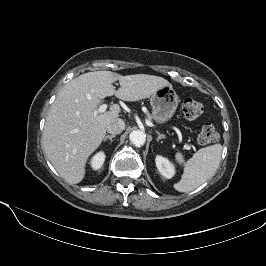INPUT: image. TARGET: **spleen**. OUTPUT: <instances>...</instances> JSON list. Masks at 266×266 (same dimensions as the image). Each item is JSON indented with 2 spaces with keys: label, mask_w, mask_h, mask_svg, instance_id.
Wrapping results in <instances>:
<instances>
[{
  "label": "spleen",
  "mask_w": 266,
  "mask_h": 266,
  "mask_svg": "<svg viewBox=\"0 0 266 266\" xmlns=\"http://www.w3.org/2000/svg\"><path fill=\"white\" fill-rule=\"evenodd\" d=\"M221 153L220 144L198 150L187 162L180 152L176 153L175 160L178 164L184 165V172L181 180L174 184V188L179 192H190L198 188L216 173Z\"/></svg>",
  "instance_id": "spleen-1"
}]
</instances>
